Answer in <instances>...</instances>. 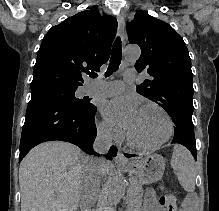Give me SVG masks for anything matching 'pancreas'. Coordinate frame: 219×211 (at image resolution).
I'll return each instance as SVG.
<instances>
[{
	"mask_svg": "<svg viewBox=\"0 0 219 211\" xmlns=\"http://www.w3.org/2000/svg\"><path fill=\"white\" fill-rule=\"evenodd\" d=\"M131 189H133V192H129V195L127 196L126 203L128 204L127 211H140L139 207H142V199L143 197V190L140 187H133L130 186Z\"/></svg>",
	"mask_w": 219,
	"mask_h": 211,
	"instance_id": "cf45deb5",
	"label": "pancreas"
}]
</instances>
